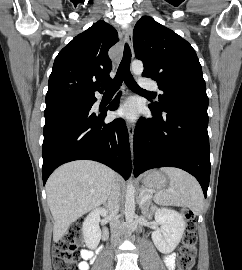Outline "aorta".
Returning <instances> with one entry per match:
<instances>
[{"mask_svg":"<svg viewBox=\"0 0 242 270\" xmlns=\"http://www.w3.org/2000/svg\"><path fill=\"white\" fill-rule=\"evenodd\" d=\"M143 63L139 60H134L131 64V70L134 75L141 76L143 72ZM125 220L128 229L132 228L134 215H135V187L130 181L127 185L126 190V201H125Z\"/></svg>","mask_w":242,"mask_h":270,"instance_id":"762f6f07","label":"aorta"}]
</instances>
